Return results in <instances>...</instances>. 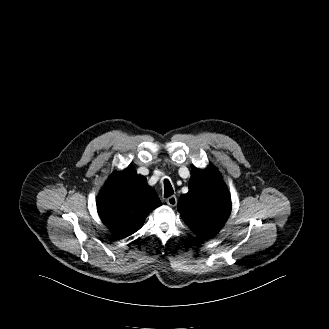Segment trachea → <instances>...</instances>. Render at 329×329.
Listing matches in <instances>:
<instances>
[{
    "label": "trachea",
    "instance_id": "3493384b",
    "mask_svg": "<svg viewBox=\"0 0 329 329\" xmlns=\"http://www.w3.org/2000/svg\"><path fill=\"white\" fill-rule=\"evenodd\" d=\"M174 193L172 185L169 180H164V197L167 198Z\"/></svg>",
    "mask_w": 329,
    "mask_h": 329
}]
</instances>
